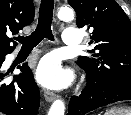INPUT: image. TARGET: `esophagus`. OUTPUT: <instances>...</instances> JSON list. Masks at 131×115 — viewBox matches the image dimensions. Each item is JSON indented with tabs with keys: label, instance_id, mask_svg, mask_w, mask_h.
<instances>
[{
	"label": "esophagus",
	"instance_id": "obj_1",
	"mask_svg": "<svg viewBox=\"0 0 131 115\" xmlns=\"http://www.w3.org/2000/svg\"><path fill=\"white\" fill-rule=\"evenodd\" d=\"M44 97L47 102H52L56 99V94L54 92L45 90L44 91Z\"/></svg>",
	"mask_w": 131,
	"mask_h": 115
}]
</instances>
